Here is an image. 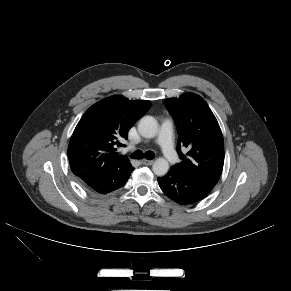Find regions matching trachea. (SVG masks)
I'll use <instances>...</instances> for the list:
<instances>
[{"label":"trachea","instance_id":"trachea-1","mask_svg":"<svg viewBox=\"0 0 291 291\" xmlns=\"http://www.w3.org/2000/svg\"><path fill=\"white\" fill-rule=\"evenodd\" d=\"M152 160L155 157V154L153 151H146L143 153L141 150H136L134 153H132L131 158L133 159H142V158Z\"/></svg>","mask_w":291,"mask_h":291}]
</instances>
